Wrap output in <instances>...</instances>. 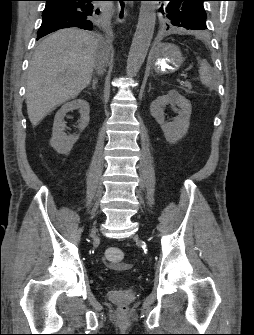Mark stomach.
<instances>
[{
    "label": "stomach",
    "instance_id": "0dacf381",
    "mask_svg": "<svg viewBox=\"0 0 254 335\" xmlns=\"http://www.w3.org/2000/svg\"><path fill=\"white\" fill-rule=\"evenodd\" d=\"M184 58L180 49L170 43H159L151 56V65L159 74L171 73L179 69Z\"/></svg>",
    "mask_w": 254,
    "mask_h": 335
}]
</instances>
